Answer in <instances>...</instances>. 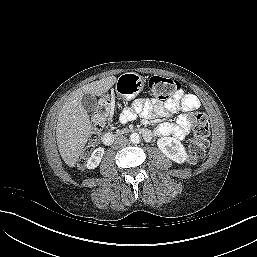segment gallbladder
<instances>
[{
	"instance_id": "obj_1",
	"label": "gallbladder",
	"mask_w": 257,
	"mask_h": 257,
	"mask_svg": "<svg viewBox=\"0 0 257 257\" xmlns=\"http://www.w3.org/2000/svg\"><path fill=\"white\" fill-rule=\"evenodd\" d=\"M81 103L87 112H93L97 107V99L92 94H85L81 99Z\"/></svg>"
}]
</instances>
